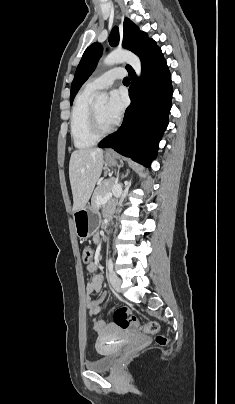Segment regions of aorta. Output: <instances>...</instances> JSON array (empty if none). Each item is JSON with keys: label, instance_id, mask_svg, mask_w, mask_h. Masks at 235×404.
<instances>
[{"label": "aorta", "instance_id": "obj_1", "mask_svg": "<svg viewBox=\"0 0 235 404\" xmlns=\"http://www.w3.org/2000/svg\"><path fill=\"white\" fill-rule=\"evenodd\" d=\"M128 63L136 72L137 76L141 75V61L132 52L125 50H114L109 53L103 60L104 65L110 66L119 63ZM107 102V95L100 93L95 97L96 105H103Z\"/></svg>", "mask_w": 235, "mask_h": 404}]
</instances>
